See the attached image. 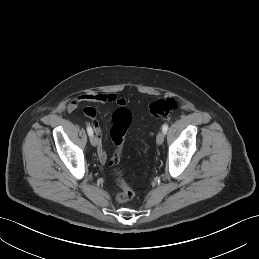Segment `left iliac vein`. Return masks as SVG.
Listing matches in <instances>:
<instances>
[{"instance_id": "1", "label": "left iliac vein", "mask_w": 259, "mask_h": 259, "mask_svg": "<svg viewBox=\"0 0 259 259\" xmlns=\"http://www.w3.org/2000/svg\"><path fill=\"white\" fill-rule=\"evenodd\" d=\"M165 138V133L164 132H159L157 137H156V142L158 145H161L164 142Z\"/></svg>"}]
</instances>
